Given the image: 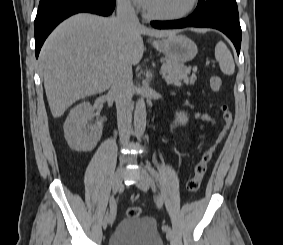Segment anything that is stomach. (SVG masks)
<instances>
[{"instance_id":"1","label":"stomach","mask_w":283,"mask_h":245,"mask_svg":"<svg viewBox=\"0 0 283 245\" xmlns=\"http://www.w3.org/2000/svg\"><path fill=\"white\" fill-rule=\"evenodd\" d=\"M153 46L168 58L179 63L191 61L197 54L196 44L184 35H172L155 41Z\"/></svg>"}]
</instances>
